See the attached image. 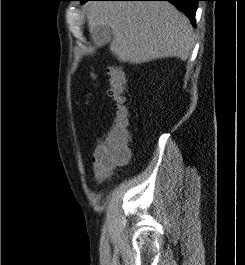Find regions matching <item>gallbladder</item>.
<instances>
[{
  "instance_id": "1",
  "label": "gallbladder",
  "mask_w": 245,
  "mask_h": 265,
  "mask_svg": "<svg viewBox=\"0 0 245 265\" xmlns=\"http://www.w3.org/2000/svg\"><path fill=\"white\" fill-rule=\"evenodd\" d=\"M90 35L94 46L98 48L108 44L111 41L113 37V31L106 25H99L90 32Z\"/></svg>"
}]
</instances>
